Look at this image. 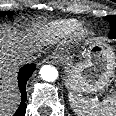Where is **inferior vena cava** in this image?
<instances>
[{"label":"inferior vena cava","instance_id":"inferior-vena-cava-1","mask_svg":"<svg viewBox=\"0 0 116 116\" xmlns=\"http://www.w3.org/2000/svg\"><path fill=\"white\" fill-rule=\"evenodd\" d=\"M34 56L31 52L29 51H24L23 53H21L18 58H17V63L19 64H26V63H30L34 60Z\"/></svg>","mask_w":116,"mask_h":116}]
</instances>
